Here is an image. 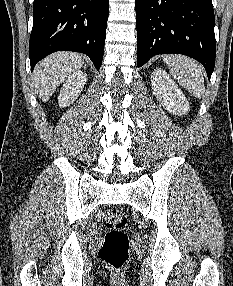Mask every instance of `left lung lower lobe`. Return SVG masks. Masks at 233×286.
Listing matches in <instances>:
<instances>
[{
    "label": "left lung lower lobe",
    "mask_w": 233,
    "mask_h": 286,
    "mask_svg": "<svg viewBox=\"0 0 233 286\" xmlns=\"http://www.w3.org/2000/svg\"><path fill=\"white\" fill-rule=\"evenodd\" d=\"M137 67L157 54L187 55L205 67L215 66L216 42L212 0H135Z\"/></svg>",
    "instance_id": "left-lung-lower-lobe-1"
}]
</instances>
